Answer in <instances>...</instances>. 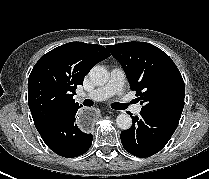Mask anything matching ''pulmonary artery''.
<instances>
[{
  "instance_id": "obj_1",
  "label": "pulmonary artery",
  "mask_w": 209,
  "mask_h": 179,
  "mask_svg": "<svg viewBox=\"0 0 209 179\" xmlns=\"http://www.w3.org/2000/svg\"><path fill=\"white\" fill-rule=\"evenodd\" d=\"M124 83L125 73L123 69L120 67H115L111 70L110 79L106 85L99 87L91 92L82 93L81 97L88 98L93 101H103L115 94L121 95L123 92ZM141 109V105H135L131 108L132 112L135 114H139Z\"/></svg>"
}]
</instances>
